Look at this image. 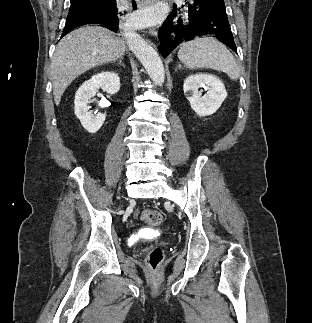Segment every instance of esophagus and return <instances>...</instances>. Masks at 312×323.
<instances>
[{
	"instance_id": "obj_1",
	"label": "esophagus",
	"mask_w": 312,
	"mask_h": 323,
	"mask_svg": "<svg viewBox=\"0 0 312 323\" xmlns=\"http://www.w3.org/2000/svg\"><path fill=\"white\" fill-rule=\"evenodd\" d=\"M136 1H137L138 8L146 7L147 5L153 4L155 2V0H136ZM149 33H151L152 35H156L157 32L155 29H151L149 30Z\"/></svg>"
}]
</instances>
